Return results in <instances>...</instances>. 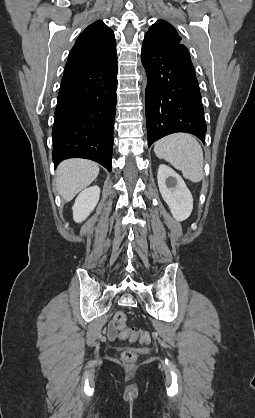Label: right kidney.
Returning <instances> with one entry per match:
<instances>
[{"mask_svg": "<svg viewBox=\"0 0 255 418\" xmlns=\"http://www.w3.org/2000/svg\"><path fill=\"white\" fill-rule=\"evenodd\" d=\"M100 197V188L92 186L84 189L76 198L72 207L75 222L84 221L96 207Z\"/></svg>", "mask_w": 255, "mask_h": 418, "instance_id": "ca27d5eb", "label": "right kidney"}]
</instances>
